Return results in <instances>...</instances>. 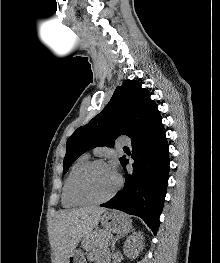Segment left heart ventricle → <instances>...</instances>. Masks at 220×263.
<instances>
[{"instance_id":"left-heart-ventricle-1","label":"left heart ventricle","mask_w":220,"mask_h":263,"mask_svg":"<svg viewBox=\"0 0 220 263\" xmlns=\"http://www.w3.org/2000/svg\"><path fill=\"white\" fill-rule=\"evenodd\" d=\"M117 184V175L108 165H96L77 181L76 191L84 198L99 199L108 195Z\"/></svg>"}]
</instances>
